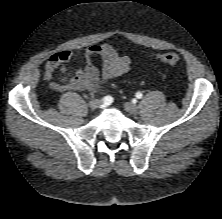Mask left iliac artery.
<instances>
[{"label": "left iliac artery", "mask_w": 222, "mask_h": 219, "mask_svg": "<svg viewBox=\"0 0 222 219\" xmlns=\"http://www.w3.org/2000/svg\"><path fill=\"white\" fill-rule=\"evenodd\" d=\"M142 96H143V95H142L141 92H137V93H136V97H137L138 99L142 98Z\"/></svg>", "instance_id": "1"}]
</instances>
